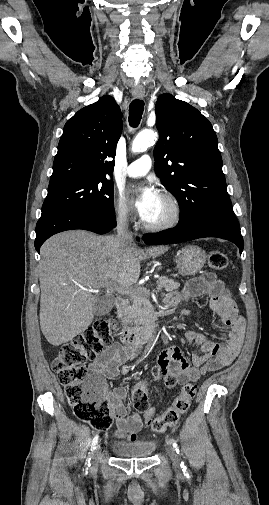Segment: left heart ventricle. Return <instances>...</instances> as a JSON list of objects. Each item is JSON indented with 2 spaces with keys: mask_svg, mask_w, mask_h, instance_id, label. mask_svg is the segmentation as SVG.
Listing matches in <instances>:
<instances>
[{
  "mask_svg": "<svg viewBox=\"0 0 269 505\" xmlns=\"http://www.w3.org/2000/svg\"><path fill=\"white\" fill-rule=\"evenodd\" d=\"M172 215V207L167 200L160 196L150 216L145 220L148 223H161Z\"/></svg>",
  "mask_w": 269,
  "mask_h": 505,
  "instance_id": "1",
  "label": "left heart ventricle"
}]
</instances>
